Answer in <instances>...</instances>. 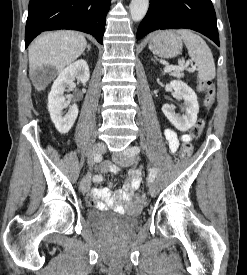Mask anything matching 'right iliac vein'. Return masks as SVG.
<instances>
[{"label":"right iliac vein","instance_id":"obj_1","mask_svg":"<svg viewBox=\"0 0 247 275\" xmlns=\"http://www.w3.org/2000/svg\"><path fill=\"white\" fill-rule=\"evenodd\" d=\"M106 151V146L103 143L96 144L93 146V148L90 150L89 157H88V163H93V156L95 155H101ZM91 185V174L88 173L86 176H84L80 181V190L85 193L89 190Z\"/></svg>","mask_w":247,"mask_h":275}]
</instances>
